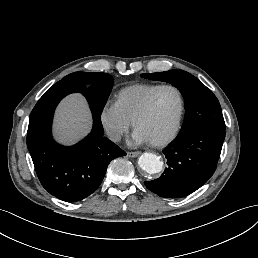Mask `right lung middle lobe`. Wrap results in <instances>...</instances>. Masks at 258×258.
Returning a JSON list of instances; mask_svg holds the SVG:
<instances>
[{"label":"right lung middle lobe","mask_w":258,"mask_h":258,"mask_svg":"<svg viewBox=\"0 0 258 258\" xmlns=\"http://www.w3.org/2000/svg\"><path fill=\"white\" fill-rule=\"evenodd\" d=\"M63 79L79 80L86 84H97L92 98L91 110L101 116L113 85L112 77L107 73L74 72Z\"/></svg>","instance_id":"right-lung-middle-lobe-1"}]
</instances>
